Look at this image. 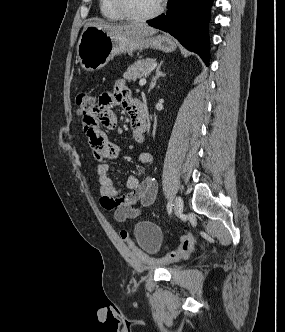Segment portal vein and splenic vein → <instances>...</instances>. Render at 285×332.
I'll use <instances>...</instances> for the list:
<instances>
[{"instance_id": "18ae733b", "label": "portal vein and splenic vein", "mask_w": 285, "mask_h": 332, "mask_svg": "<svg viewBox=\"0 0 285 332\" xmlns=\"http://www.w3.org/2000/svg\"><path fill=\"white\" fill-rule=\"evenodd\" d=\"M146 84V78H142V79H140V81H139V85L140 86H143V85H145Z\"/></svg>"}]
</instances>
